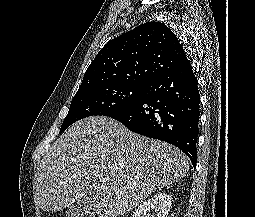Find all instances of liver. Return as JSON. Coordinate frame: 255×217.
<instances>
[{
	"mask_svg": "<svg viewBox=\"0 0 255 217\" xmlns=\"http://www.w3.org/2000/svg\"><path fill=\"white\" fill-rule=\"evenodd\" d=\"M188 170V157L175 146L93 116L74 123L42 158L34 200L57 212L89 199L98 217H119Z\"/></svg>",
	"mask_w": 255,
	"mask_h": 217,
	"instance_id": "liver-1",
	"label": "liver"
}]
</instances>
